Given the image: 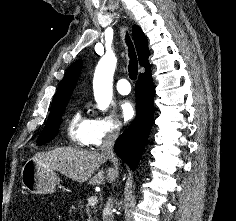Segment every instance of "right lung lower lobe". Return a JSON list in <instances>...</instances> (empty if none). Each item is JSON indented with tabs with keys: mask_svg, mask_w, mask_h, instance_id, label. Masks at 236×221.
Listing matches in <instances>:
<instances>
[{
	"mask_svg": "<svg viewBox=\"0 0 236 221\" xmlns=\"http://www.w3.org/2000/svg\"><path fill=\"white\" fill-rule=\"evenodd\" d=\"M135 90L137 116L114 146L117 155L133 170L141 158L153 123L154 84L151 70L139 75Z\"/></svg>",
	"mask_w": 236,
	"mask_h": 221,
	"instance_id": "98d812e1",
	"label": "right lung lower lobe"
}]
</instances>
